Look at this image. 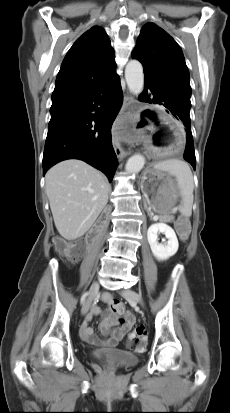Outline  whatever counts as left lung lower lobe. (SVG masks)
I'll use <instances>...</instances> for the list:
<instances>
[{
  "label": "left lung lower lobe",
  "instance_id": "0a47b994",
  "mask_svg": "<svg viewBox=\"0 0 230 413\" xmlns=\"http://www.w3.org/2000/svg\"><path fill=\"white\" fill-rule=\"evenodd\" d=\"M145 85L139 96L141 102L154 103L164 106L167 113L172 114L184 126L186 133V148L184 158L195 169V152L190 126V105L179 95L168 90L162 80L154 73L144 70Z\"/></svg>",
  "mask_w": 230,
  "mask_h": 413
}]
</instances>
